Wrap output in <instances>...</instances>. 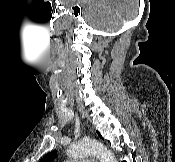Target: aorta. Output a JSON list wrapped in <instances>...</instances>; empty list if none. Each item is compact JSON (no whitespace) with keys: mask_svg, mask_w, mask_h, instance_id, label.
Returning <instances> with one entry per match:
<instances>
[{"mask_svg":"<svg viewBox=\"0 0 175 162\" xmlns=\"http://www.w3.org/2000/svg\"><path fill=\"white\" fill-rule=\"evenodd\" d=\"M67 153L72 158L94 155L100 162H117L114 154L105 145L96 140H81L73 143L68 148Z\"/></svg>","mask_w":175,"mask_h":162,"instance_id":"1","label":"aorta"}]
</instances>
